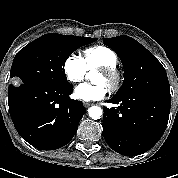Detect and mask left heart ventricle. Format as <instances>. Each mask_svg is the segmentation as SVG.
<instances>
[{
  "instance_id": "b2bd125f",
  "label": "left heart ventricle",
  "mask_w": 178,
  "mask_h": 178,
  "mask_svg": "<svg viewBox=\"0 0 178 178\" xmlns=\"http://www.w3.org/2000/svg\"><path fill=\"white\" fill-rule=\"evenodd\" d=\"M93 81L95 83H103V84H105L106 86L109 87V80H108V78L104 74H102L100 72L96 73V75L93 78Z\"/></svg>"
}]
</instances>
